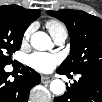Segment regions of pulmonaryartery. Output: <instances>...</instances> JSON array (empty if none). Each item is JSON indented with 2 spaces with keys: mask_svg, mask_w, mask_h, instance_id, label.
<instances>
[{
  "mask_svg": "<svg viewBox=\"0 0 102 102\" xmlns=\"http://www.w3.org/2000/svg\"><path fill=\"white\" fill-rule=\"evenodd\" d=\"M55 43L59 46L63 45L67 39V35L62 33V34H59L55 37H53Z\"/></svg>",
  "mask_w": 102,
  "mask_h": 102,
  "instance_id": "e3ab8cb5",
  "label": "pulmonary artery"
}]
</instances>
